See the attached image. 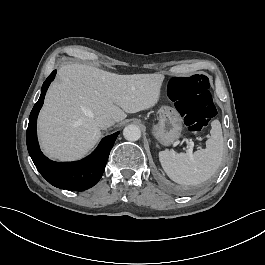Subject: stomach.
Instances as JSON below:
<instances>
[{
  "mask_svg": "<svg viewBox=\"0 0 265 265\" xmlns=\"http://www.w3.org/2000/svg\"><path fill=\"white\" fill-rule=\"evenodd\" d=\"M182 131L181 117L172 107L159 110V122L151 127V135L162 146H171L179 140Z\"/></svg>",
  "mask_w": 265,
  "mask_h": 265,
  "instance_id": "stomach-1",
  "label": "stomach"
}]
</instances>
